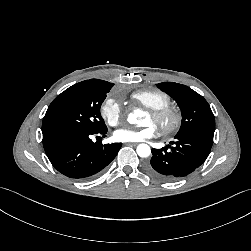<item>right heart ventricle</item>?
Listing matches in <instances>:
<instances>
[{
    "mask_svg": "<svg viewBox=\"0 0 251 251\" xmlns=\"http://www.w3.org/2000/svg\"><path fill=\"white\" fill-rule=\"evenodd\" d=\"M131 98L148 109H160L171 103L169 95L160 90H140L132 93Z\"/></svg>",
    "mask_w": 251,
    "mask_h": 251,
    "instance_id": "obj_1",
    "label": "right heart ventricle"
}]
</instances>
